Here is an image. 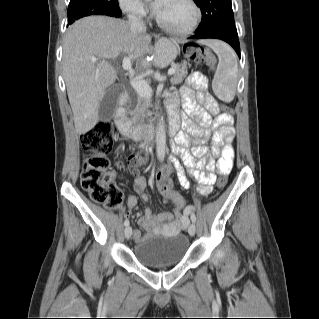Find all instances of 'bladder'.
I'll list each match as a JSON object with an SVG mask.
<instances>
[{"instance_id": "bladder-1", "label": "bladder", "mask_w": 319, "mask_h": 319, "mask_svg": "<svg viewBox=\"0 0 319 319\" xmlns=\"http://www.w3.org/2000/svg\"><path fill=\"white\" fill-rule=\"evenodd\" d=\"M191 242L183 234L145 237L134 247L135 258L145 266H170L189 253Z\"/></svg>"}]
</instances>
